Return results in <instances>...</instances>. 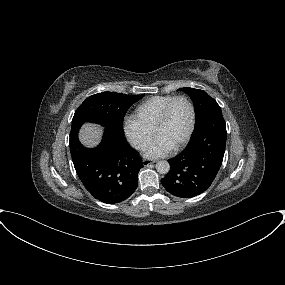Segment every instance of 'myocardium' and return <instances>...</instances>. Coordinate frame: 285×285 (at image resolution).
I'll return each instance as SVG.
<instances>
[{"instance_id": "1", "label": "myocardium", "mask_w": 285, "mask_h": 285, "mask_svg": "<svg viewBox=\"0 0 285 285\" xmlns=\"http://www.w3.org/2000/svg\"><path fill=\"white\" fill-rule=\"evenodd\" d=\"M178 100H183L187 103L189 109H190V115H191V119H190V126L189 129L185 135V137L181 140V142L177 145H175L174 147H172L173 150H179L182 147H184L188 141L190 140L194 129H195V125H196V111H195V107L192 103V101L185 95H177L174 96L163 108L162 112L160 113L157 122L154 126V135L157 134L158 130L161 128V126L165 123L168 114L170 112L171 107L173 106V104L178 101Z\"/></svg>"}]
</instances>
